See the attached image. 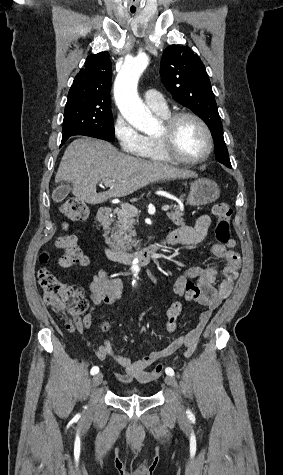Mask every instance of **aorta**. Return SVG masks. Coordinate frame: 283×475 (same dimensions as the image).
Instances as JSON below:
<instances>
[{
  "label": "aorta",
  "mask_w": 283,
  "mask_h": 475,
  "mask_svg": "<svg viewBox=\"0 0 283 475\" xmlns=\"http://www.w3.org/2000/svg\"><path fill=\"white\" fill-rule=\"evenodd\" d=\"M148 63L149 57L145 54L127 59L115 79L114 97L123 117L136 129L151 135L160 129V123L139 98L137 92L139 78ZM131 271L134 285L140 272L137 259L133 261Z\"/></svg>",
  "instance_id": "obj_1"
}]
</instances>
